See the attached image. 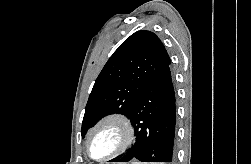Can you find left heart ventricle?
Returning <instances> with one entry per match:
<instances>
[{"label":"left heart ventricle","instance_id":"obj_1","mask_svg":"<svg viewBox=\"0 0 251 164\" xmlns=\"http://www.w3.org/2000/svg\"><path fill=\"white\" fill-rule=\"evenodd\" d=\"M120 140L119 129L112 124H107L93 135L90 142L91 154L97 158L104 157L118 147Z\"/></svg>","mask_w":251,"mask_h":164}]
</instances>
